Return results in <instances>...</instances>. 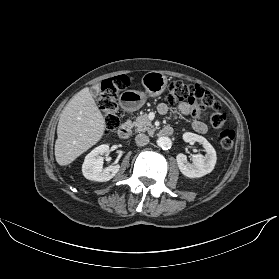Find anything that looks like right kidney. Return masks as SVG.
Instances as JSON below:
<instances>
[{
	"label": "right kidney",
	"instance_id": "right-kidney-1",
	"mask_svg": "<svg viewBox=\"0 0 279 279\" xmlns=\"http://www.w3.org/2000/svg\"><path fill=\"white\" fill-rule=\"evenodd\" d=\"M110 147L108 144L94 148L84 160L82 173L88 180L106 182L111 180L120 169V165H111L103 169V155H108Z\"/></svg>",
	"mask_w": 279,
	"mask_h": 279
}]
</instances>
